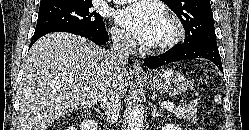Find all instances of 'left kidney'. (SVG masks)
<instances>
[{
  "instance_id": "1",
  "label": "left kidney",
  "mask_w": 249,
  "mask_h": 130,
  "mask_svg": "<svg viewBox=\"0 0 249 130\" xmlns=\"http://www.w3.org/2000/svg\"><path fill=\"white\" fill-rule=\"evenodd\" d=\"M162 130H182L179 126H175L174 124H166Z\"/></svg>"
}]
</instances>
